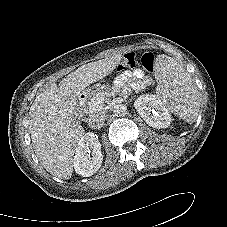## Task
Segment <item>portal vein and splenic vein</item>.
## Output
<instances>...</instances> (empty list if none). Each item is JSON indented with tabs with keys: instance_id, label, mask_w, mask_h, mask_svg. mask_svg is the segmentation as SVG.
<instances>
[{
	"instance_id": "portal-vein-and-splenic-vein-1",
	"label": "portal vein and splenic vein",
	"mask_w": 227,
	"mask_h": 227,
	"mask_svg": "<svg viewBox=\"0 0 227 227\" xmlns=\"http://www.w3.org/2000/svg\"><path fill=\"white\" fill-rule=\"evenodd\" d=\"M104 96H105V95L103 94V95L98 96V97L96 98V103H95L96 106H98L99 104L103 103V101H104Z\"/></svg>"
}]
</instances>
